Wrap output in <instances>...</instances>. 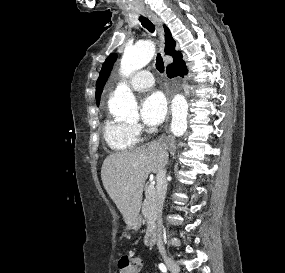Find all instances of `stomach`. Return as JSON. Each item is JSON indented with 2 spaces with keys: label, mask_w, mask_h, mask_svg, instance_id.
Here are the masks:
<instances>
[{
  "label": "stomach",
  "mask_w": 285,
  "mask_h": 273,
  "mask_svg": "<svg viewBox=\"0 0 285 273\" xmlns=\"http://www.w3.org/2000/svg\"><path fill=\"white\" fill-rule=\"evenodd\" d=\"M140 225V220H136L132 224L129 225V228H137Z\"/></svg>",
  "instance_id": "stomach-1"
}]
</instances>
